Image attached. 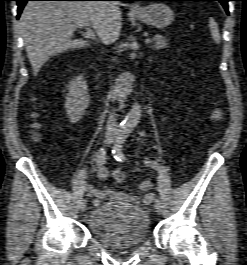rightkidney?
I'll use <instances>...</instances> for the list:
<instances>
[{
  "label": "right kidney",
  "instance_id": "right-kidney-1",
  "mask_svg": "<svg viewBox=\"0 0 247 265\" xmlns=\"http://www.w3.org/2000/svg\"><path fill=\"white\" fill-rule=\"evenodd\" d=\"M64 107L71 123L80 121L88 108L90 97L86 81L82 76L74 77L68 84Z\"/></svg>",
  "mask_w": 247,
  "mask_h": 265
}]
</instances>
